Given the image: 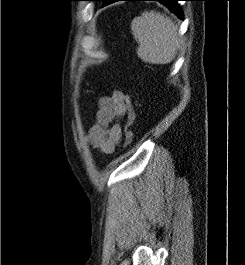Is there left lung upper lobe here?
<instances>
[{
  "label": "left lung upper lobe",
  "mask_w": 245,
  "mask_h": 265,
  "mask_svg": "<svg viewBox=\"0 0 245 265\" xmlns=\"http://www.w3.org/2000/svg\"><path fill=\"white\" fill-rule=\"evenodd\" d=\"M95 1H103L104 2L105 0H95Z\"/></svg>",
  "instance_id": "obj_1"
}]
</instances>
